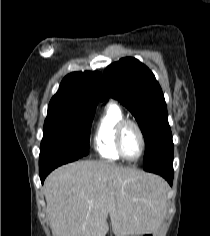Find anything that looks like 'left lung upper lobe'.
Segmentation results:
<instances>
[{"label":"left lung upper lobe","mask_w":210,"mask_h":236,"mask_svg":"<svg viewBox=\"0 0 210 236\" xmlns=\"http://www.w3.org/2000/svg\"><path fill=\"white\" fill-rule=\"evenodd\" d=\"M119 100L135 117L143 133L144 162L172 144L167 106L154 74L135 58H122L103 74L101 100Z\"/></svg>","instance_id":"obj_1"}]
</instances>
